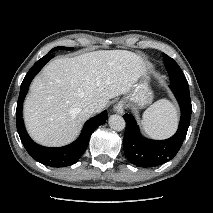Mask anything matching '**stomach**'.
Listing matches in <instances>:
<instances>
[{
  "mask_svg": "<svg viewBox=\"0 0 213 213\" xmlns=\"http://www.w3.org/2000/svg\"><path fill=\"white\" fill-rule=\"evenodd\" d=\"M153 94L147 82L142 80L123 98L133 109L142 108L151 103Z\"/></svg>",
  "mask_w": 213,
  "mask_h": 213,
  "instance_id": "1",
  "label": "stomach"
}]
</instances>
